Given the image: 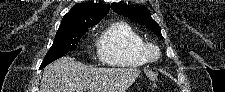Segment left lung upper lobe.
I'll use <instances>...</instances> for the list:
<instances>
[{"instance_id":"5c2ea615","label":"left lung upper lobe","mask_w":225,"mask_h":92,"mask_svg":"<svg viewBox=\"0 0 225 92\" xmlns=\"http://www.w3.org/2000/svg\"><path fill=\"white\" fill-rule=\"evenodd\" d=\"M111 9L117 14L127 16L131 20L145 25L162 38L159 25L151 18V14L144 6L112 3Z\"/></svg>"}]
</instances>
